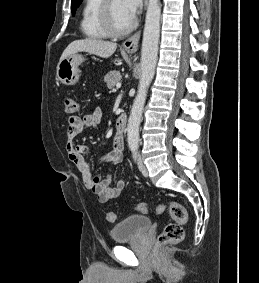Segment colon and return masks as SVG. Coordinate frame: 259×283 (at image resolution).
<instances>
[{
  "label": "colon",
  "mask_w": 259,
  "mask_h": 283,
  "mask_svg": "<svg viewBox=\"0 0 259 283\" xmlns=\"http://www.w3.org/2000/svg\"><path fill=\"white\" fill-rule=\"evenodd\" d=\"M65 109L70 115L79 113L80 107L74 98L65 99ZM151 206L145 203L136 205V210L140 213H148ZM155 211L158 214L168 212L172 217V222L167 224L162 233L157 238L158 246H165L178 243L184 238V225L188 221V212L183 205L176 201H168L155 206ZM106 220L110 223L115 222L116 216L112 211H107L105 214Z\"/></svg>",
  "instance_id": "5ec220e1"
}]
</instances>
